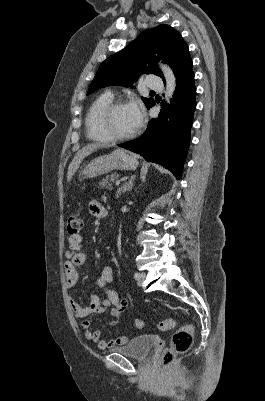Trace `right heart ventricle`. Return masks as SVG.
Segmentation results:
<instances>
[{
	"instance_id": "right-heart-ventricle-1",
	"label": "right heart ventricle",
	"mask_w": 265,
	"mask_h": 401,
	"mask_svg": "<svg viewBox=\"0 0 265 401\" xmlns=\"http://www.w3.org/2000/svg\"><path fill=\"white\" fill-rule=\"evenodd\" d=\"M112 101L113 95L110 92H105L90 104L85 116L86 133L90 139L100 142L106 141L104 135L98 130L97 119L103 108Z\"/></svg>"
}]
</instances>
